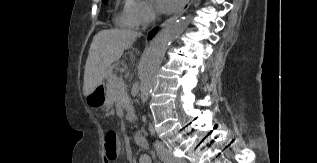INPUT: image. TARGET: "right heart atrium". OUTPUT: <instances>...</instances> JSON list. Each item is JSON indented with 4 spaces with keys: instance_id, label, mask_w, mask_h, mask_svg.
<instances>
[{
    "instance_id": "obj_1",
    "label": "right heart atrium",
    "mask_w": 317,
    "mask_h": 163,
    "mask_svg": "<svg viewBox=\"0 0 317 163\" xmlns=\"http://www.w3.org/2000/svg\"><path fill=\"white\" fill-rule=\"evenodd\" d=\"M128 14L136 26H146L153 22L156 17L155 10L148 0H131Z\"/></svg>"
}]
</instances>
